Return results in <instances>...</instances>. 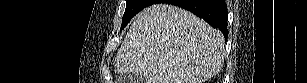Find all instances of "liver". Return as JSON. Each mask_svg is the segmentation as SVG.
Wrapping results in <instances>:
<instances>
[{
	"label": "liver",
	"mask_w": 307,
	"mask_h": 83,
	"mask_svg": "<svg viewBox=\"0 0 307 83\" xmlns=\"http://www.w3.org/2000/svg\"><path fill=\"white\" fill-rule=\"evenodd\" d=\"M225 39L178 6L154 4L140 12L115 58V72L139 73L144 83H204L223 66Z\"/></svg>",
	"instance_id": "liver-1"
}]
</instances>
